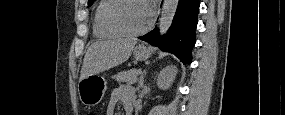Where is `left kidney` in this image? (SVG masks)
<instances>
[{
	"mask_svg": "<svg viewBox=\"0 0 285 115\" xmlns=\"http://www.w3.org/2000/svg\"><path fill=\"white\" fill-rule=\"evenodd\" d=\"M177 73L175 65L165 67L158 76V86L162 89H168L173 83Z\"/></svg>",
	"mask_w": 285,
	"mask_h": 115,
	"instance_id": "1",
	"label": "left kidney"
}]
</instances>
